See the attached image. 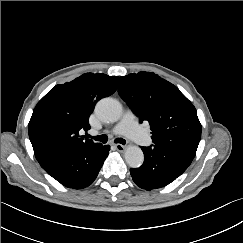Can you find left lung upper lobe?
<instances>
[{
  "instance_id": "obj_1",
  "label": "left lung upper lobe",
  "mask_w": 243,
  "mask_h": 243,
  "mask_svg": "<svg viewBox=\"0 0 243 243\" xmlns=\"http://www.w3.org/2000/svg\"><path fill=\"white\" fill-rule=\"evenodd\" d=\"M119 95L140 122L148 121L154 145L198 147L201 124L193 104L170 82L149 72L120 77Z\"/></svg>"
}]
</instances>
